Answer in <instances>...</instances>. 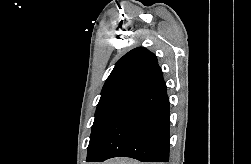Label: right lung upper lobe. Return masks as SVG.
Returning <instances> with one entry per match:
<instances>
[{
    "mask_svg": "<svg viewBox=\"0 0 251 164\" xmlns=\"http://www.w3.org/2000/svg\"><path fill=\"white\" fill-rule=\"evenodd\" d=\"M162 80L163 73L156 56L146 48L138 47L119 59L107 78L101 94L122 88L143 90Z\"/></svg>",
    "mask_w": 251,
    "mask_h": 164,
    "instance_id": "cb5924a9",
    "label": "right lung upper lobe"
}]
</instances>
